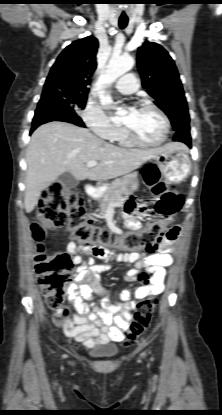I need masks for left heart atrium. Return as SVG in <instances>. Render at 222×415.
Listing matches in <instances>:
<instances>
[{"instance_id":"39dd6f15","label":"left heart atrium","mask_w":222,"mask_h":415,"mask_svg":"<svg viewBox=\"0 0 222 415\" xmlns=\"http://www.w3.org/2000/svg\"><path fill=\"white\" fill-rule=\"evenodd\" d=\"M135 109H131L130 111L133 112Z\"/></svg>"}]
</instances>
